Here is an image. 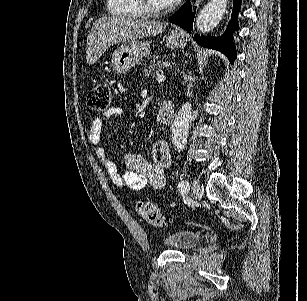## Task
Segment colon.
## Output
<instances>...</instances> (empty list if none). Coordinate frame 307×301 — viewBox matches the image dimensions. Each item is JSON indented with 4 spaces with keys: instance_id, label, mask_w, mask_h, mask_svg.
<instances>
[{
    "instance_id": "obj_1",
    "label": "colon",
    "mask_w": 307,
    "mask_h": 301,
    "mask_svg": "<svg viewBox=\"0 0 307 301\" xmlns=\"http://www.w3.org/2000/svg\"><path fill=\"white\" fill-rule=\"evenodd\" d=\"M111 102L110 88L106 83L95 84L87 94V104L95 111H106ZM136 210L140 217L154 227H165L168 219L160 212L159 208L147 201H139Z\"/></svg>"
}]
</instances>
